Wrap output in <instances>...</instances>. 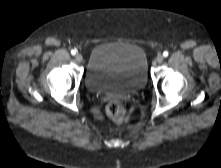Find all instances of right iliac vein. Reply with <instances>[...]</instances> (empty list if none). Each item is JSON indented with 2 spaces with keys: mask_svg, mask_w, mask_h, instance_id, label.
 <instances>
[{
  "mask_svg": "<svg viewBox=\"0 0 221 168\" xmlns=\"http://www.w3.org/2000/svg\"><path fill=\"white\" fill-rule=\"evenodd\" d=\"M75 60H76L77 62H81V61H82V55H81L80 53H77V54L75 55Z\"/></svg>",
  "mask_w": 221,
  "mask_h": 168,
  "instance_id": "obj_1",
  "label": "right iliac vein"
}]
</instances>
